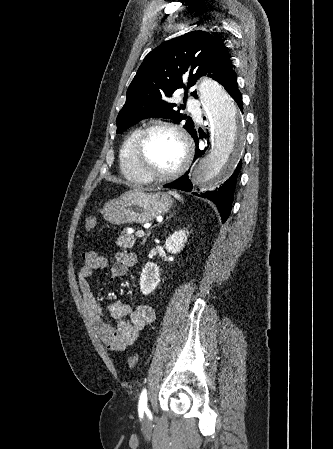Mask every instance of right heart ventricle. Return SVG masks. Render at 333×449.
Here are the masks:
<instances>
[{"label":"right heart ventricle","instance_id":"e07e8e85","mask_svg":"<svg viewBox=\"0 0 333 449\" xmlns=\"http://www.w3.org/2000/svg\"><path fill=\"white\" fill-rule=\"evenodd\" d=\"M142 128L132 129L126 136L119 152L120 167L124 177L136 182H147L136 170L134 163V146Z\"/></svg>","mask_w":333,"mask_h":449}]
</instances>
